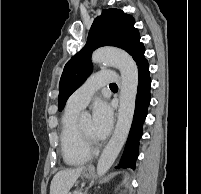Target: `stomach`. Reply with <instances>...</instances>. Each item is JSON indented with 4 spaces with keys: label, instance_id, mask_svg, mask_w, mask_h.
<instances>
[{
    "label": "stomach",
    "instance_id": "stomach-1",
    "mask_svg": "<svg viewBox=\"0 0 201 194\" xmlns=\"http://www.w3.org/2000/svg\"><path fill=\"white\" fill-rule=\"evenodd\" d=\"M82 175L85 178H91L94 175V168L92 166L85 167V169L83 170Z\"/></svg>",
    "mask_w": 201,
    "mask_h": 194
}]
</instances>
